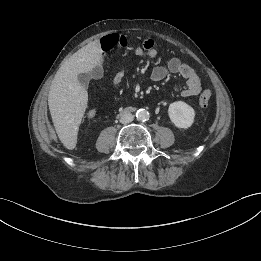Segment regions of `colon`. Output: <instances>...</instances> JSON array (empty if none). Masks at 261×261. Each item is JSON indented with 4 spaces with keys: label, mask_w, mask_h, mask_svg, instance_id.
<instances>
[{
    "label": "colon",
    "mask_w": 261,
    "mask_h": 261,
    "mask_svg": "<svg viewBox=\"0 0 261 261\" xmlns=\"http://www.w3.org/2000/svg\"><path fill=\"white\" fill-rule=\"evenodd\" d=\"M211 96H212V92L210 89L203 90V92L201 93L200 98H199V106L202 109H205L208 107Z\"/></svg>",
    "instance_id": "colon-1"
}]
</instances>
